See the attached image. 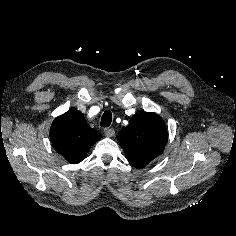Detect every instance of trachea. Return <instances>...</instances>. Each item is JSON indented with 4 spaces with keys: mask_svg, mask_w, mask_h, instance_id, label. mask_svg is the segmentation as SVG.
I'll use <instances>...</instances> for the list:
<instances>
[{
    "mask_svg": "<svg viewBox=\"0 0 236 236\" xmlns=\"http://www.w3.org/2000/svg\"><path fill=\"white\" fill-rule=\"evenodd\" d=\"M112 122V114L110 111H105L101 118V127H109Z\"/></svg>",
    "mask_w": 236,
    "mask_h": 236,
    "instance_id": "trachea-1",
    "label": "trachea"
}]
</instances>
